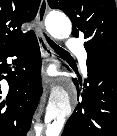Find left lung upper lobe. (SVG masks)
<instances>
[{
	"label": "left lung upper lobe",
	"mask_w": 117,
	"mask_h": 136,
	"mask_svg": "<svg viewBox=\"0 0 117 136\" xmlns=\"http://www.w3.org/2000/svg\"><path fill=\"white\" fill-rule=\"evenodd\" d=\"M72 21V35L84 36L87 60L117 61V11L114 0H48Z\"/></svg>",
	"instance_id": "obj_1"
}]
</instances>
